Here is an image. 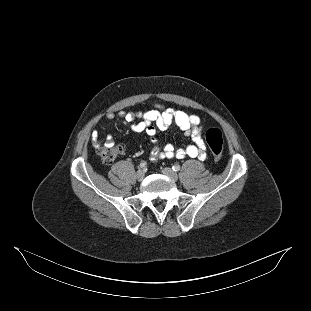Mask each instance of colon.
I'll use <instances>...</instances> for the list:
<instances>
[{
  "label": "colon",
  "instance_id": "colon-1",
  "mask_svg": "<svg viewBox=\"0 0 311 311\" xmlns=\"http://www.w3.org/2000/svg\"><path fill=\"white\" fill-rule=\"evenodd\" d=\"M206 142L216 160L222 157L223 137L217 128H209L205 134ZM122 148L118 145H104L97 148V154L104 163H112L120 154Z\"/></svg>",
  "mask_w": 311,
  "mask_h": 311
}]
</instances>
